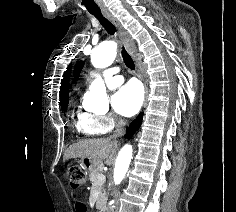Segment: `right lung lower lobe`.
Segmentation results:
<instances>
[{
    "label": "right lung lower lobe",
    "mask_w": 236,
    "mask_h": 212,
    "mask_svg": "<svg viewBox=\"0 0 236 212\" xmlns=\"http://www.w3.org/2000/svg\"><path fill=\"white\" fill-rule=\"evenodd\" d=\"M141 117H142V114H139L137 119H135L132 122V124L130 125V128L128 130L127 137H131L134 134V132L136 131V129H138L140 127Z\"/></svg>",
    "instance_id": "right-lung-lower-lobe-1"
}]
</instances>
